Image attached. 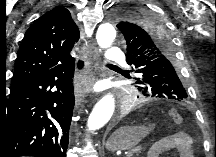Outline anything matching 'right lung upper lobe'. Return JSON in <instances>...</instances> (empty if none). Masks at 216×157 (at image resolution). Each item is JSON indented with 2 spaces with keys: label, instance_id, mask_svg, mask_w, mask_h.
I'll return each mask as SVG.
<instances>
[{
  "label": "right lung upper lobe",
  "instance_id": "right-lung-upper-lobe-1",
  "mask_svg": "<svg viewBox=\"0 0 216 157\" xmlns=\"http://www.w3.org/2000/svg\"><path fill=\"white\" fill-rule=\"evenodd\" d=\"M79 40V29L64 7H56L27 30L18 52L11 88H16L47 70L75 61L70 55Z\"/></svg>",
  "mask_w": 216,
  "mask_h": 157
}]
</instances>
